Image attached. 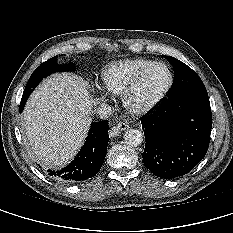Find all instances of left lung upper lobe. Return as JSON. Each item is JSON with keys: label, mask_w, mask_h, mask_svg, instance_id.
<instances>
[{"label": "left lung upper lobe", "mask_w": 233, "mask_h": 233, "mask_svg": "<svg viewBox=\"0 0 233 233\" xmlns=\"http://www.w3.org/2000/svg\"><path fill=\"white\" fill-rule=\"evenodd\" d=\"M174 68L175 83L169 97L189 92H207L199 76L178 59L165 56Z\"/></svg>", "instance_id": "1"}]
</instances>
